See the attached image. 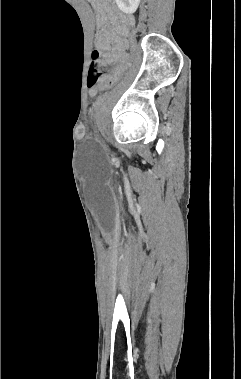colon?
Segmentation results:
<instances>
[{"instance_id": "colon-1", "label": "colon", "mask_w": 241, "mask_h": 379, "mask_svg": "<svg viewBox=\"0 0 241 379\" xmlns=\"http://www.w3.org/2000/svg\"><path fill=\"white\" fill-rule=\"evenodd\" d=\"M128 28L125 30V35L128 38V46H129V52L130 53H137L138 52V42H137V37L135 33V24L134 23H129ZM129 61H123L122 64L119 65V70L120 71H115L114 76H111L110 79H106L104 85H102L99 89L98 92L100 94H103L104 92H109L111 86L114 85L117 81L119 83H122L124 81L125 77V72L127 68L131 67V63L134 62V57H129ZM102 70H103V64L101 61V53L98 49H95L92 54V61L90 65V71L88 75V85L90 87L95 86L101 76H102Z\"/></svg>"}]
</instances>
